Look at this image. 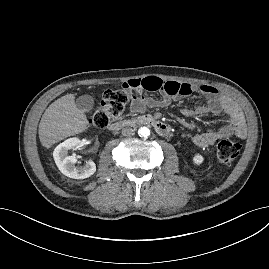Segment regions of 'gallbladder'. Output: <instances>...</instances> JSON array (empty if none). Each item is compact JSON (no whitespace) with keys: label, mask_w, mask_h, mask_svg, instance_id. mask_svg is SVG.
I'll list each match as a JSON object with an SVG mask.
<instances>
[{"label":"gallbladder","mask_w":269,"mask_h":269,"mask_svg":"<svg viewBox=\"0 0 269 269\" xmlns=\"http://www.w3.org/2000/svg\"><path fill=\"white\" fill-rule=\"evenodd\" d=\"M76 106L83 112H88L94 106V98L90 95H82L77 98Z\"/></svg>","instance_id":"obj_1"}]
</instances>
